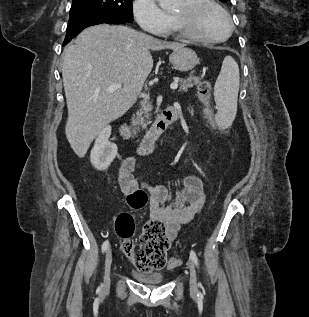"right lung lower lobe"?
<instances>
[{"label":"right lung lower lobe","instance_id":"1","mask_svg":"<svg viewBox=\"0 0 309 317\" xmlns=\"http://www.w3.org/2000/svg\"><path fill=\"white\" fill-rule=\"evenodd\" d=\"M101 23L122 24L126 22L115 17L96 14H86L70 17L68 22L67 35L65 37L63 45H66L68 42H70L71 39L77 36L83 29Z\"/></svg>","mask_w":309,"mask_h":317}]
</instances>
